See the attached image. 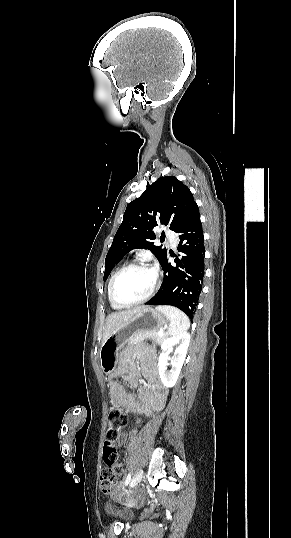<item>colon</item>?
Returning <instances> with one entry per match:
<instances>
[{
    "label": "colon",
    "mask_w": 291,
    "mask_h": 538,
    "mask_svg": "<svg viewBox=\"0 0 291 538\" xmlns=\"http://www.w3.org/2000/svg\"><path fill=\"white\" fill-rule=\"evenodd\" d=\"M150 344L154 343L150 342ZM108 422L109 428L103 451V458L107 468L101 472L99 484L103 493L112 494L120 472V470L116 469L117 455L114 442L127 423L126 412L116 403H112L110 406Z\"/></svg>",
    "instance_id": "5ec220e1"
}]
</instances>
